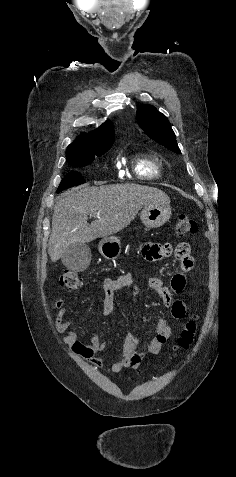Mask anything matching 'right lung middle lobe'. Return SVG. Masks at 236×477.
<instances>
[{
	"instance_id": "obj_1",
	"label": "right lung middle lobe",
	"mask_w": 236,
	"mask_h": 477,
	"mask_svg": "<svg viewBox=\"0 0 236 477\" xmlns=\"http://www.w3.org/2000/svg\"><path fill=\"white\" fill-rule=\"evenodd\" d=\"M109 149H110V147L100 149V150H97V151H95L91 154L77 156V157H74V158H72L70 160H67V161L72 166L82 167V166H85V165L89 164L90 162H92L96 156H98V157L102 156ZM84 182H85V180L83 179V177L78 172H75V171L70 172L62 179V181H61V183L58 187L57 193L61 192L64 189L83 184Z\"/></svg>"
}]
</instances>
